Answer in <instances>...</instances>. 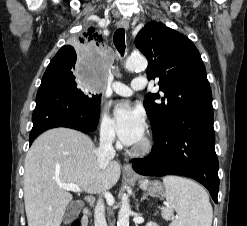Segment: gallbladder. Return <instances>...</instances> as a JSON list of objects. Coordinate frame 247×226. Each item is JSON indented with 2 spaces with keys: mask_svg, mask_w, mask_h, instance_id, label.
Returning <instances> with one entry per match:
<instances>
[{
  "mask_svg": "<svg viewBox=\"0 0 247 226\" xmlns=\"http://www.w3.org/2000/svg\"><path fill=\"white\" fill-rule=\"evenodd\" d=\"M82 207V204L78 201L71 202L66 208L64 214V223L67 224L76 219Z\"/></svg>",
  "mask_w": 247,
  "mask_h": 226,
  "instance_id": "1",
  "label": "gallbladder"
}]
</instances>
